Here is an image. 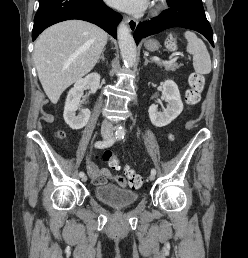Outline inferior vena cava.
<instances>
[{
  "instance_id": "1",
  "label": "inferior vena cava",
  "mask_w": 248,
  "mask_h": 258,
  "mask_svg": "<svg viewBox=\"0 0 248 258\" xmlns=\"http://www.w3.org/2000/svg\"><path fill=\"white\" fill-rule=\"evenodd\" d=\"M101 133L108 134V135L113 134V126L107 119H105L102 123Z\"/></svg>"
}]
</instances>
